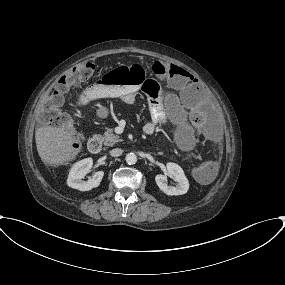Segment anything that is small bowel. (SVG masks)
Returning a JSON list of instances; mask_svg holds the SVG:
<instances>
[{
    "mask_svg": "<svg viewBox=\"0 0 285 285\" xmlns=\"http://www.w3.org/2000/svg\"><path fill=\"white\" fill-rule=\"evenodd\" d=\"M187 85V78L182 75L177 86L179 88H184ZM141 84L136 85H124L121 87H103L100 84L92 85L86 88L76 99V104L81 106L84 103L93 101L101 97H118L121 98L126 104H133L136 99V93L139 91ZM148 107L150 113V120L143 127L144 135H152L158 126L163 124V120L160 114L161 109V99L148 97ZM168 110L172 118L180 123L183 120L182 111L180 106L173 100L167 101ZM204 137L212 142H217L218 137L212 132H205ZM192 137H190L191 139ZM212 163V162H209ZM214 164V163H212ZM215 165V164H214Z\"/></svg>",
    "mask_w": 285,
    "mask_h": 285,
    "instance_id": "obj_1",
    "label": "small bowel"
}]
</instances>
